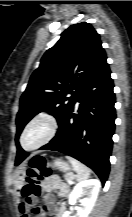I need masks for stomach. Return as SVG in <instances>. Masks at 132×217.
<instances>
[{
    "mask_svg": "<svg viewBox=\"0 0 132 217\" xmlns=\"http://www.w3.org/2000/svg\"><path fill=\"white\" fill-rule=\"evenodd\" d=\"M54 167L63 172H69L71 170V166L69 165V163L63 161L62 159L54 160ZM24 176L25 172L22 171L21 175H19L16 179L15 184H20L24 180Z\"/></svg>",
    "mask_w": 132,
    "mask_h": 217,
    "instance_id": "stomach-1",
    "label": "stomach"
}]
</instances>
